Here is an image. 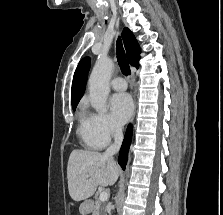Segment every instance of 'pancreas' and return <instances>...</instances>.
Returning a JSON list of instances; mask_svg holds the SVG:
<instances>
[{
	"mask_svg": "<svg viewBox=\"0 0 223 215\" xmlns=\"http://www.w3.org/2000/svg\"><path fill=\"white\" fill-rule=\"evenodd\" d=\"M94 202L96 204V207H94L96 211L94 213L92 212V215H100V211L102 209V201H98V199H96V201Z\"/></svg>",
	"mask_w": 223,
	"mask_h": 215,
	"instance_id": "1",
	"label": "pancreas"
}]
</instances>
